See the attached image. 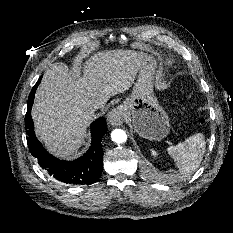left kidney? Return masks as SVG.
Wrapping results in <instances>:
<instances>
[{"label":"left kidney","mask_w":233,"mask_h":233,"mask_svg":"<svg viewBox=\"0 0 233 233\" xmlns=\"http://www.w3.org/2000/svg\"><path fill=\"white\" fill-rule=\"evenodd\" d=\"M152 152V155L156 156L157 155V152L155 150H151Z\"/></svg>","instance_id":"5707ae66"}]
</instances>
